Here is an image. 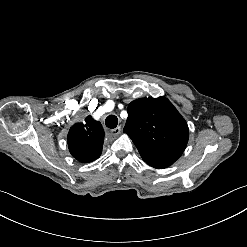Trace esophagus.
Instances as JSON below:
<instances>
[{
	"instance_id": "obj_1",
	"label": "esophagus",
	"mask_w": 247,
	"mask_h": 247,
	"mask_svg": "<svg viewBox=\"0 0 247 247\" xmlns=\"http://www.w3.org/2000/svg\"><path fill=\"white\" fill-rule=\"evenodd\" d=\"M120 131H121V126H118V127L111 130V134L118 135L120 133Z\"/></svg>"
}]
</instances>
